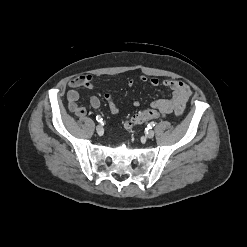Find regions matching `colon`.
<instances>
[{
    "mask_svg": "<svg viewBox=\"0 0 247 247\" xmlns=\"http://www.w3.org/2000/svg\"><path fill=\"white\" fill-rule=\"evenodd\" d=\"M160 117V112L156 109H147L138 112L136 115H134L127 123V127L130 128L134 124L137 123H143L151 119H157Z\"/></svg>",
    "mask_w": 247,
    "mask_h": 247,
    "instance_id": "obj_1",
    "label": "colon"
}]
</instances>
